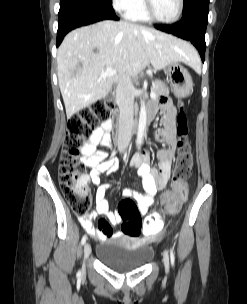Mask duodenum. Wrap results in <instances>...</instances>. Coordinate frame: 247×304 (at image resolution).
<instances>
[{"mask_svg":"<svg viewBox=\"0 0 247 304\" xmlns=\"http://www.w3.org/2000/svg\"><path fill=\"white\" fill-rule=\"evenodd\" d=\"M146 116H147V120L148 121H150V120H152L153 119V117L155 116V111H153V110H151V109H148L147 110V114H146ZM137 118V117H136ZM112 120H113V141L115 142V144H118V141H117V137L119 136V130H118V128H119V122H118V120H119V115H117V112H116V115H112ZM134 128H136V127H134ZM148 128V127H147Z\"/></svg>","mask_w":247,"mask_h":304,"instance_id":"1","label":"duodenum"}]
</instances>
